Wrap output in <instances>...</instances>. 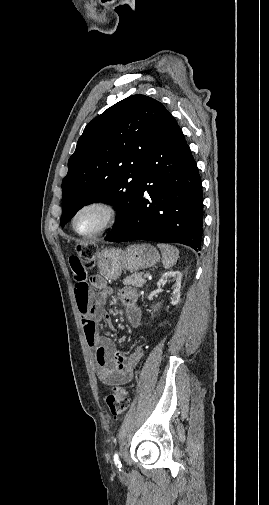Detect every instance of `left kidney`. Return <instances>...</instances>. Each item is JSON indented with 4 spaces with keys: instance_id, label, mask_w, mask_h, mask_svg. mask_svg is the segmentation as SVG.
I'll return each mask as SVG.
<instances>
[{
    "instance_id": "5707ae66",
    "label": "left kidney",
    "mask_w": 269,
    "mask_h": 505,
    "mask_svg": "<svg viewBox=\"0 0 269 505\" xmlns=\"http://www.w3.org/2000/svg\"><path fill=\"white\" fill-rule=\"evenodd\" d=\"M170 278H173L175 280V285H174V290L172 293L171 297V303L172 305H177L178 302L180 301V288H181V279H182V274L179 271H168L165 272L160 280L158 281L157 285L161 286L163 283L167 282Z\"/></svg>"
}]
</instances>
